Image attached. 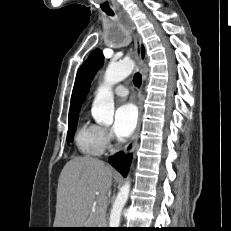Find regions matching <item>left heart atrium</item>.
Here are the masks:
<instances>
[{
  "mask_svg": "<svg viewBox=\"0 0 231 231\" xmlns=\"http://www.w3.org/2000/svg\"><path fill=\"white\" fill-rule=\"evenodd\" d=\"M138 122V112L134 104L123 103L116 112L113 124L114 134L120 138H128L134 131Z\"/></svg>",
  "mask_w": 231,
  "mask_h": 231,
  "instance_id": "39dd6f15",
  "label": "left heart atrium"
}]
</instances>
